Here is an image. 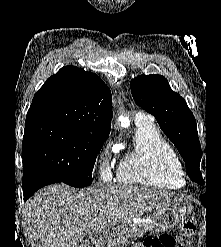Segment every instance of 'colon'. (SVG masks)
Segmentation results:
<instances>
[{
	"instance_id": "colon-1",
	"label": "colon",
	"mask_w": 221,
	"mask_h": 247,
	"mask_svg": "<svg viewBox=\"0 0 221 247\" xmlns=\"http://www.w3.org/2000/svg\"><path fill=\"white\" fill-rule=\"evenodd\" d=\"M196 231V220L189 217L183 221L176 238L160 235L147 238L142 247H192L193 236ZM78 247H91L90 243L82 242Z\"/></svg>"
}]
</instances>
